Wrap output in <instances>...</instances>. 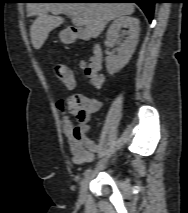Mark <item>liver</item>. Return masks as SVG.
<instances>
[{
  "instance_id": "liver-1",
  "label": "liver",
  "mask_w": 188,
  "mask_h": 213,
  "mask_svg": "<svg viewBox=\"0 0 188 213\" xmlns=\"http://www.w3.org/2000/svg\"><path fill=\"white\" fill-rule=\"evenodd\" d=\"M27 13L29 17L36 16L30 29V36L33 47L40 49L49 33L63 24L64 19L59 17V14L83 18L86 32L96 38L109 21L134 13V5L133 3H28Z\"/></svg>"
}]
</instances>
